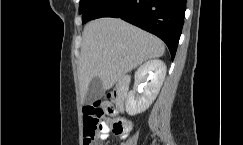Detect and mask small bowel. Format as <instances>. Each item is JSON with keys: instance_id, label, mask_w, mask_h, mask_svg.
Here are the masks:
<instances>
[{"instance_id": "obj_1", "label": "small bowel", "mask_w": 243, "mask_h": 145, "mask_svg": "<svg viewBox=\"0 0 243 145\" xmlns=\"http://www.w3.org/2000/svg\"><path fill=\"white\" fill-rule=\"evenodd\" d=\"M112 121H113V120L106 119V120H104V121L102 122L101 130H100V135H99V139H100L101 141H104V140H106V139L108 138V136H109V132H110V130H111V123H112ZM126 121H127V120H126ZM127 123H128V128H127V130H126L124 133L120 134V136H121L122 138H126V137H127L128 132H129V130H130V128H131V123H130L129 121H127Z\"/></svg>"}]
</instances>
